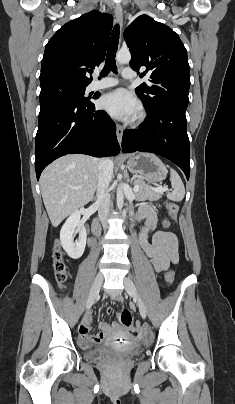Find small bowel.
Instances as JSON below:
<instances>
[{"mask_svg": "<svg viewBox=\"0 0 235 404\" xmlns=\"http://www.w3.org/2000/svg\"><path fill=\"white\" fill-rule=\"evenodd\" d=\"M140 215L145 219V226L141 231L139 242L145 254L150 258L154 268L158 272L166 271L171 265L178 263V240L171 232L159 231L153 235L152 242L147 240L148 234L155 227V213L149 207H142ZM107 314L112 313L110 307ZM99 333L92 335V325L89 318L79 327L80 342L87 346L91 343L110 345L118 336H128V330L120 323L114 322L111 325L106 322L99 324Z\"/></svg>", "mask_w": 235, "mask_h": 404, "instance_id": "1", "label": "small bowel"}]
</instances>
